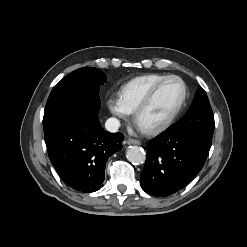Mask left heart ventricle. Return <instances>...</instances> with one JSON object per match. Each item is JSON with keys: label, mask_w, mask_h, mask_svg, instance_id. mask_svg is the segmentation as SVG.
I'll use <instances>...</instances> for the list:
<instances>
[{"label": "left heart ventricle", "mask_w": 247, "mask_h": 247, "mask_svg": "<svg viewBox=\"0 0 247 247\" xmlns=\"http://www.w3.org/2000/svg\"><path fill=\"white\" fill-rule=\"evenodd\" d=\"M183 92V85L180 81L173 79L166 82L141 115L140 126L150 128L166 120L179 105Z\"/></svg>", "instance_id": "obj_1"}]
</instances>
